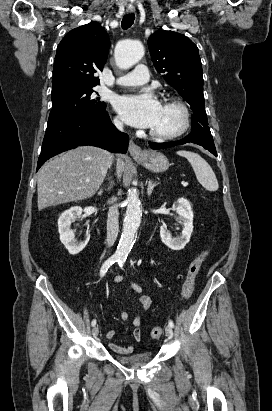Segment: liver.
Returning a JSON list of instances; mask_svg holds the SVG:
<instances>
[{"label": "liver", "mask_w": 272, "mask_h": 411, "mask_svg": "<svg viewBox=\"0 0 272 411\" xmlns=\"http://www.w3.org/2000/svg\"><path fill=\"white\" fill-rule=\"evenodd\" d=\"M112 164L110 152L82 146L54 157L38 172V210L92 197ZM123 158L117 159V173L124 171Z\"/></svg>", "instance_id": "liver-1"}]
</instances>
